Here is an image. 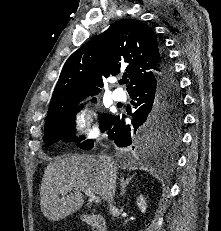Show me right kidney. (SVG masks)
<instances>
[{"label": "right kidney", "instance_id": "obj_1", "mask_svg": "<svg viewBox=\"0 0 221 231\" xmlns=\"http://www.w3.org/2000/svg\"><path fill=\"white\" fill-rule=\"evenodd\" d=\"M137 206L138 208L140 209V211L142 213H145L146 212V209H147V202H146V199L143 197V195H140L138 198H137Z\"/></svg>", "mask_w": 221, "mask_h": 231}]
</instances>
